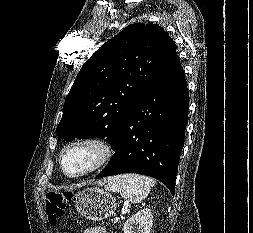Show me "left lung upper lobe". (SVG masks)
Instances as JSON below:
<instances>
[{"label":"left lung upper lobe","mask_w":253,"mask_h":233,"mask_svg":"<svg viewBox=\"0 0 253 233\" xmlns=\"http://www.w3.org/2000/svg\"><path fill=\"white\" fill-rule=\"evenodd\" d=\"M176 54L153 23H135L84 63L63 106L57 134L67 141L99 137L112 146L123 122Z\"/></svg>","instance_id":"obj_1"}]
</instances>
